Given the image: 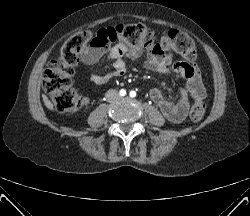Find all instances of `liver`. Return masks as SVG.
Returning <instances> with one entry per match:
<instances>
[{
  "mask_svg": "<svg viewBox=\"0 0 250 216\" xmlns=\"http://www.w3.org/2000/svg\"><path fill=\"white\" fill-rule=\"evenodd\" d=\"M43 101H44V104L45 106L50 109V110H53V104L51 103V101L48 99V97L46 95H43Z\"/></svg>",
  "mask_w": 250,
  "mask_h": 216,
  "instance_id": "obj_1",
  "label": "liver"
}]
</instances>
